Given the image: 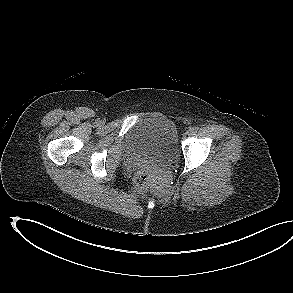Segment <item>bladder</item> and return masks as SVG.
Listing matches in <instances>:
<instances>
[{
	"label": "bladder",
	"instance_id": "obj_1",
	"mask_svg": "<svg viewBox=\"0 0 293 293\" xmlns=\"http://www.w3.org/2000/svg\"><path fill=\"white\" fill-rule=\"evenodd\" d=\"M129 147L159 166L174 163L179 155L175 124L164 116L139 119L126 135Z\"/></svg>",
	"mask_w": 293,
	"mask_h": 293
}]
</instances>
